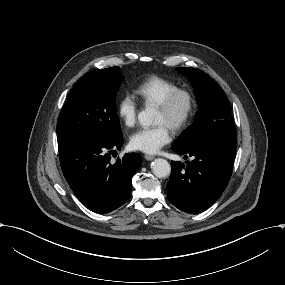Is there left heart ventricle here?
<instances>
[{
	"label": "left heart ventricle",
	"mask_w": 285,
	"mask_h": 285,
	"mask_svg": "<svg viewBox=\"0 0 285 285\" xmlns=\"http://www.w3.org/2000/svg\"><path fill=\"white\" fill-rule=\"evenodd\" d=\"M186 103V97L184 95H181L176 100L173 111L171 113L163 112L156 107L153 117V124L164 123L170 126L172 119L184 111Z\"/></svg>",
	"instance_id": "1"
}]
</instances>
